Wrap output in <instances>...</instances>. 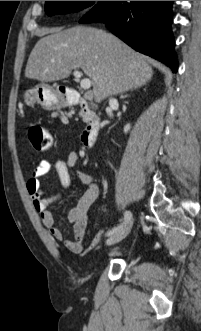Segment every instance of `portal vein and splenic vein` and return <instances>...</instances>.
I'll return each mask as SVG.
<instances>
[{"instance_id":"18ae733b","label":"portal vein and splenic vein","mask_w":201,"mask_h":331,"mask_svg":"<svg viewBox=\"0 0 201 331\" xmlns=\"http://www.w3.org/2000/svg\"><path fill=\"white\" fill-rule=\"evenodd\" d=\"M73 75H74V77L77 78V79H80V78L82 77V73L79 72V71H77V70H75V71L73 72ZM91 85H92V82H91V80L88 79V78H84V79H82V80L80 81V86H81V88L84 89V90H88V89H90Z\"/></svg>"}]
</instances>
